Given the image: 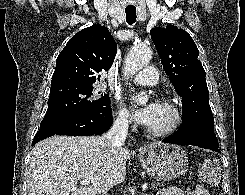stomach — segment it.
Segmentation results:
<instances>
[{"mask_svg":"<svg viewBox=\"0 0 245 195\" xmlns=\"http://www.w3.org/2000/svg\"><path fill=\"white\" fill-rule=\"evenodd\" d=\"M139 161L146 173L158 180L169 181L186 172L188 157L179 146L172 144H153L143 148Z\"/></svg>","mask_w":245,"mask_h":195,"instance_id":"obj_1","label":"stomach"}]
</instances>
